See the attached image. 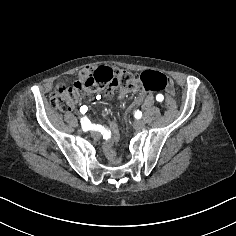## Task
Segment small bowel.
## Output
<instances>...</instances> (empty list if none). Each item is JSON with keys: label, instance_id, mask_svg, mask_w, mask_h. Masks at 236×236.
Returning a JSON list of instances; mask_svg holds the SVG:
<instances>
[{"label": "small bowel", "instance_id": "c3829d8e", "mask_svg": "<svg viewBox=\"0 0 236 236\" xmlns=\"http://www.w3.org/2000/svg\"><path fill=\"white\" fill-rule=\"evenodd\" d=\"M138 83L130 85V86H122L119 91V98L123 99L131 92H134L138 89ZM144 107H150L153 104V98L150 95L145 96L142 99ZM85 108V107H83ZM102 116L106 119V126L102 130V135L105 140L104 143V151L108 159L112 164H117L115 146L119 141V132L115 122L108 119V115L106 111L102 112Z\"/></svg>", "mask_w": 236, "mask_h": 236}]
</instances>
